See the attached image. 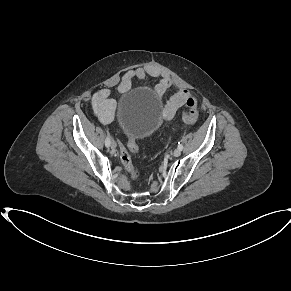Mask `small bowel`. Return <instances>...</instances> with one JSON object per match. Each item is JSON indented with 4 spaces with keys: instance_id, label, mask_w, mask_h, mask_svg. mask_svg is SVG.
<instances>
[{
    "instance_id": "small-bowel-1",
    "label": "small bowel",
    "mask_w": 291,
    "mask_h": 291,
    "mask_svg": "<svg viewBox=\"0 0 291 291\" xmlns=\"http://www.w3.org/2000/svg\"><path fill=\"white\" fill-rule=\"evenodd\" d=\"M146 76L159 78L155 86V95L157 98H162L171 85V79L168 74L161 71L155 65H147L126 72L118 84V90L120 92H126L131 88L134 80H142ZM189 95L190 93L186 89L180 88L175 90L169 96L163 108L162 119L170 120L173 118L179 107L186 103ZM92 108L101 124L107 125L113 121L117 106L109 88H101L93 95Z\"/></svg>"
}]
</instances>
